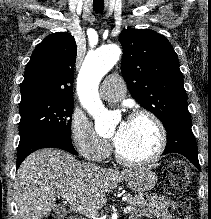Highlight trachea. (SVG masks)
I'll list each match as a JSON object with an SVG mask.
<instances>
[{"mask_svg": "<svg viewBox=\"0 0 211 219\" xmlns=\"http://www.w3.org/2000/svg\"><path fill=\"white\" fill-rule=\"evenodd\" d=\"M103 9H104V5H101V6H93V10H94L96 13H102V12H103Z\"/></svg>", "mask_w": 211, "mask_h": 219, "instance_id": "3493384b", "label": "trachea"}]
</instances>
